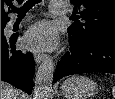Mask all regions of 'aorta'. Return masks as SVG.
<instances>
[{"instance_id": "aorta-1", "label": "aorta", "mask_w": 115, "mask_h": 99, "mask_svg": "<svg viewBox=\"0 0 115 99\" xmlns=\"http://www.w3.org/2000/svg\"><path fill=\"white\" fill-rule=\"evenodd\" d=\"M54 62L47 57L39 66L35 77L34 99H51Z\"/></svg>"}]
</instances>
